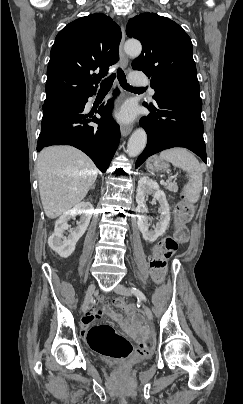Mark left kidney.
Masks as SVG:
<instances>
[{
    "mask_svg": "<svg viewBox=\"0 0 243 404\" xmlns=\"http://www.w3.org/2000/svg\"><path fill=\"white\" fill-rule=\"evenodd\" d=\"M149 194H153L155 200L159 202V212L161 214L160 220L152 232L148 230V220L145 216V214L148 212L145 206V198L146 196H149ZM136 202L138 204L136 208L138 230H140L146 242H155L158 236H162V234H164L170 222V210L166 196L164 192L160 190L157 182H154V180H149L147 176H143V178H140L138 182Z\"/></svg>",
    "mask_w": 243,
    "mask_h": 404,
    "instance_id": "5707ae66",
    "label": "left kidney"
}]
</instances>
